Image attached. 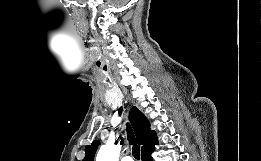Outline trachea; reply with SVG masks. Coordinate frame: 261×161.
I'll return each mask as SVG.
<instances>
[{"mask_svg":"<svg viewBox=\"0 0 261 161\" xmlns=\"http://www.w3.org/2000/svg\"><path fill=\"white\" fill-rule=\"evenodd\" d=\"M127 137H128L129 144L132 145V154H133L134 158L139 160L140 159V146L137 144L133 130L129 124L127 125Z\"/></svg>","mask_w":261,"mask_h":161,"instance_id":"obj_1","label":"trachea"}]
</instances>
